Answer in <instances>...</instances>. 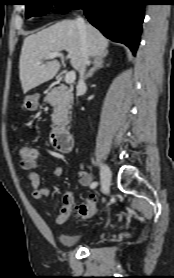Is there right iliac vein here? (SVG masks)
I'll use <instances>...</instances> for the list:
<instances>
[{"mask_svg":"<svg viewBox=\"0 0 174 278\" xmlns=\"http://www.w3.org/2000/svg\"><path fill=\"white\" fill-rule=\"evenodd\" d=\"M111 184V171L107 165L101 166V187L104 192H108Z\"/></svg>","mask_w":174,"mask_h":278,"instance_id":"right-iliac-vein-1","label":"right iliac vein"}]
</instances>
